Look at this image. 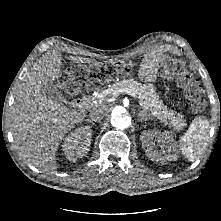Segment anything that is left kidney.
<instances>
[{
    "label": "left kidney",
    "mask_w": 221,
    "mask_h": 221,
    "mask_svg": "<svg viewBox=\"0 0 221 221\" xmlns=\"http://www.w3.org/2000/svg\"><path fill=\"white\" fill-rule=\"evenodd\" d=\"M141 141L151 160L160 161L162 163L176 160V146L169 132H163L162 134L154 131L143 133ZM155 143L161 147L162 152L157 150Z\"/></svg>",
    "instance_id": "obj_1"
}]
</instances>
